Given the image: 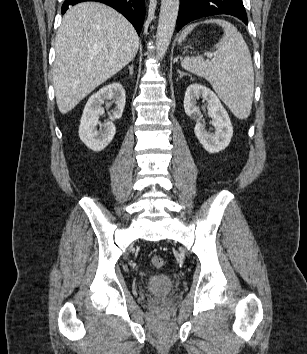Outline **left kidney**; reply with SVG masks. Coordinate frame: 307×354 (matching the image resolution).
Returning <instances> with one entry per match:
<instances>
[{"label": "left kidney", "mask_w": 307, "mask_h": 354, "mask_svg": "<svg viewBox=\"0 0 307 354\" xmlns=\"http://www.w3.org/2000/svg\"><path fill=\"white\" fill-rule=\"evenodd\" d=\"M203 98L208 104V115L212 118L211 124L215 131L209 133L202 122V115L197 104V99ZM185 113L196 120L195 135L204 149L209 153L224 150L233 136V127L229 115L216 94L209 88L192 84L188 86L184 96Z\"/></svg>", "instance_id": "5707ae66"}]
</instances>
